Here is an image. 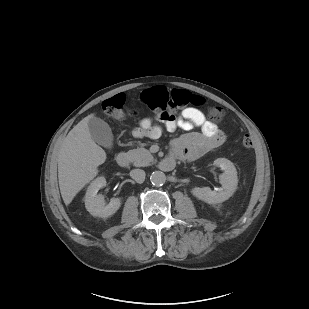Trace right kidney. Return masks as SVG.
I'll return each instance as SVG.
<instances>
[{
  "label": "right kidney",
  "mask_w": 309,
  "mask_h": 309,
  "mask_svg": "<svg viewBox=\"0 0 309 309\" xmlns=\"http://www.w3.org/2000/svg\"><path fill=\"white\" fill-rule=\"evenodd\" d=\"M106 186V179L98 177L87 188L84 198L87 211L97 217L107 218L113 215L121 206V198H112L109 204L106 205L104 196L97 192Z\"/></svg>",
  "instance_id": "right-kidney-1"
}]
</instances>
